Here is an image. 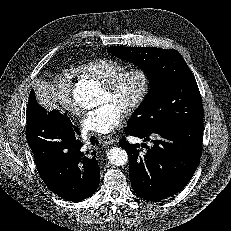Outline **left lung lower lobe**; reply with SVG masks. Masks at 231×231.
Instances as JSON below:
<instances>
[{"mask_svg":"<svg viewBox=\"0 0 231 231\" xmlns=\"http://www.w3.org/2000/svg\"><path fill=\"white\" fill-rule=\"evenodd\" d=\"M203 120L190 122L172 128L132 130L125 128V134L152 140V148L142 155L138 144H129L125 139L120 146L129 155V177L137 195L147 200L158 201L170 197L192 178L202 153Z\"/></svg>","mask_w":231,"mask_h":231,"instance_id":"left-lung-lower-lobe-1","label":"left lung lower lobe"}]
</instances>
